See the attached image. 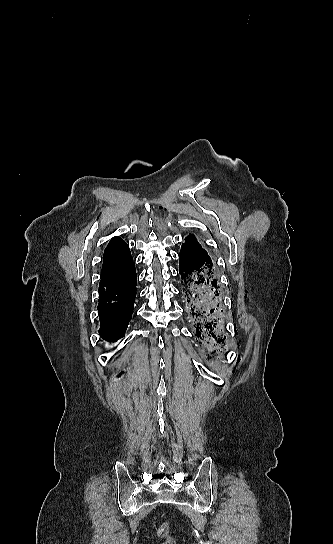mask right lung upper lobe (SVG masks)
Here are the masks:
<instances>
[{
    "label": "right lung upper lobe",
    "mask_w": 333,
    "mask_h": 544,
    "mask_svg": "<svg viewBox=\"0 0 333 544\" xmlns=\"http://www.w3.org/2000/svg\"><path fill=\"white\" fill-rule=\"evenodd\" d=\"M132 262L128 245L120 237H113L104 251L100 283L121 274Z\"/></svg>",
    "instance_id": "obj_1"
}]
</instances>
